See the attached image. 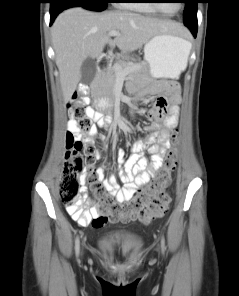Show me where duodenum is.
I'll return each mask as SVG.
<instances>
[{
	"mask_svg": "<svg viewBox=\"0 0 239 296\" xmlns=\"http://www.w3.org/2000/svg\"><path fill=\"white\" fill-rule=\"evenodd\" d=\"M109 64H110V59H109L108 56H104V55L99 56V58L97 60V69H98V71L99 72L105 71L108 68ZM84 90H85V88L82 87L80 89V92H83ZM103 124L104 123L102 122L99 125L102 126Z\"/></svg>",
	"mask_w": 239,
	"mask_h": 296,
	"instance_id": "obj_1",
	"label": "duodenum"
}]
</instances>
